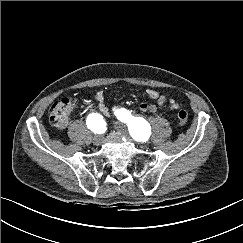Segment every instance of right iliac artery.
<instances>
[{
  "label": "right iliac artery",
  "mask_w": 243,
  "mask_h": 243,
  "mask_svg": "<svg viewBox=\"0 0 243 243\" xmlns=\"http://www.w3.org/2000/svg\"><path fill=\"white\" fill-rule=\"evenodd\" d=\"M87 127L94 133H100L105 122L103 117L98 113H92L88 116L86 121Z\"/></svg>",
  "instance_id": "1"
}]
</instances>
